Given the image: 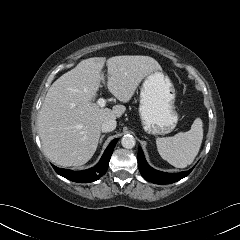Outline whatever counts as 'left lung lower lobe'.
<instances>
[{
	"mask_svg": "<svg viewBox=\"0 0 240 240\" xmlns=\"http://www.w3.org/2000/svg\"><path fill=\"white\" fill-rule=\"evenodd\" d=\"M138 166L141 175L147 180L155 184H169V183H174L182 178L186 177L187 175L190 174V172L193 170L190 169L185 172H180L177 174H170V173H165V172H160L157 171L153 168H151L144 157V154L141 150V148L138 149Z\"/></svg>",
	"mask_w": 240,
	"mask_h": 240,
	"instance_id": "obj_1",
	"label": "left lung lower lobe"
}]
</instances>
